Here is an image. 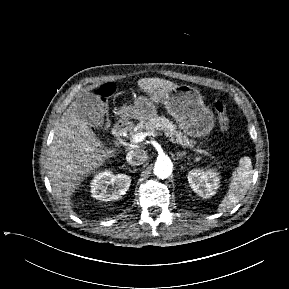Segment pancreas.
Segmentation results:
<instances>
[{"label":"pancreas","instance_id":"pancreas-1","mask_svg":"<svg viewBox=\"0 0 289 289\" xmlns=\"http://www.w3.org/2000/svg\"><path fill=\"white\" fill-rule=\"evenodd\" d=\"M163 131L165 135L170 136L171 140L182 144L184 146H192V142H189V139L184 135L181 131L177 130V126L173 124L172 121H169L164 116H157L150 118L148 121H141L138 123L135 127H133V130L130 132L131 138L142 131ZM175 138V139H174Z\"/></svg>","mask_w":289,"mask_h":289}]
</instances>
